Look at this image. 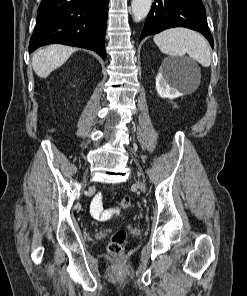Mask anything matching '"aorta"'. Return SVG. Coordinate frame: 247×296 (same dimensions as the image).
Instances as JSON below:
<instances>
[{
	"label": "aorta",
	"mask_w": 247,
	"mask_h": 296,
	"mask_svg": "<svg viewBox=\"0 0 247 296\" xmlns=\"http://www.w3.org/2000/svg\"><path fill=\"white\" fill-rule=\"evenodd\" d=\"M151 5L152 0H132L131 8L134 20L139 22L144 19L148 15Z\"/></svg>",
	"instance_id": "762f6f07"
}]
</instances>
